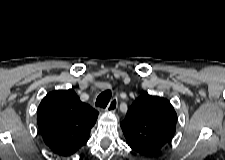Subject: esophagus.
<instances>
[{"instance_id": "1", "label": "esophagus", "mask_w": 225, "mask_h": 160, "mask_svg": "<svg viewBox=\"0 0 225 160\" xmlns=\"http://www.w3.org/2000/svg\"><path fill=\"white\" fill-rule=\"evenodd\" d=\"M118 106V99L116 97L112 98L107 106V111L115 112Z\"/></svg>"}]
</instances>
